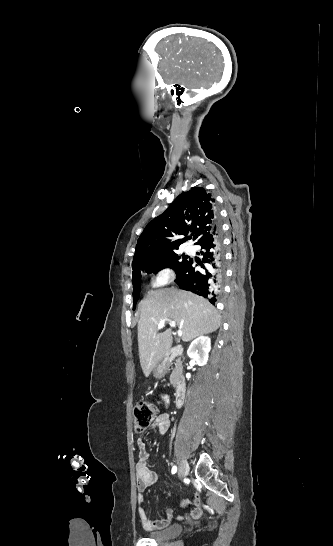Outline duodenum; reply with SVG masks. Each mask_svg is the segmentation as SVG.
I'll return each mask as SVG.
<instances>
[{
    "label": "duodenum",
    "instance_id": "1",
    "mask_svg": "<svg viewBox=\"0 0 333 546\" xmlns=\"http://www.w3.org/2000/svg\"><path fill=\"white\" fill-rule=\"evenodd\" d=\"M182 354V348L181 347H173L170 349V351L167 354V359L171 360L176 357H179ZM187 393V384L184 379H179L176 382L175 385V404L177 406H181L184 403L185 397Z\"/></svg>",
    "mask_w": 333,
    "mask_h": 546
}]
</instances>
